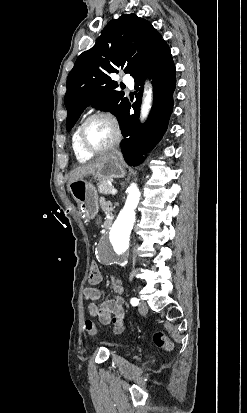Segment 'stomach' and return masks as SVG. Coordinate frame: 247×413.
I'll return each instance as SVG.
<instances>
[{
	"label": "stomach",
	"instance_id": "stomach-1",
	"mask_svg": "<svg viewBox=\"0 0 247 413\" xmlns=\"http://www.w3.org/2000/svg\"><path fill=\"white\" fill-rule=\"evenodd\" d=\"M97 180H109V178H121L125 174V168L120 156L108 154L103 162L93 172ZM68 190L78 202L79 211L83 219H94L98 213V192L96 186L89 180H73L69 182Z\"/></svg>",
	"mask_w": 247,
	"mask_h": 413
}]
</instances>
